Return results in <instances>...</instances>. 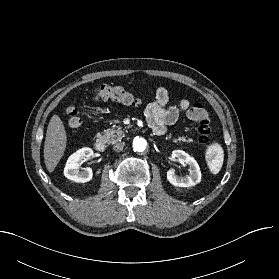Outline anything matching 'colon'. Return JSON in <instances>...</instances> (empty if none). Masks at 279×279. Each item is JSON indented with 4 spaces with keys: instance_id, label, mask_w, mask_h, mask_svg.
Returning <instances> with one entry per match:
<instances>
[{
    "instance_id": "colon-1",
    "label": "colon",
    "mask_w": 279,
    "mask_h": 279,
    "mask_svg": "<svg viewBox=\"0 0 279 279\" xmlns=\"http://www.w3.org/2000/svg\"><path fill=\"white\" fill-rule=\"evenodd\" d=\"M95 97L101 101H114L124 105H139L140 99L135 97L130 91L121 86L101 85L95 90ZM68 123L72 129H79L81 119L76 107L71 106L67 109ZM191 120L197 122V134L200 143H207L212 132L211 121L208 113L200 103H193L188 110Z\"/></svg>"
}]
</instances>
